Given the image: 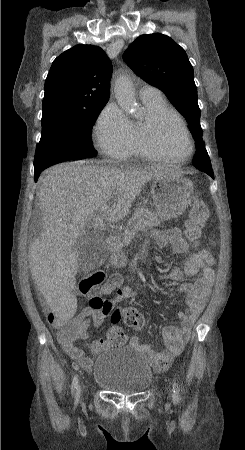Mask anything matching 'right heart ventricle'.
<instances>
[{"instance_id": "e07e8e85", "label": "right heart ventricle", "mask_w": 245, "mask_h": 450, "mask_svg": "<svg viewBox=\"0 0 245 450\" xmlns=\"http://www.w3.org/2000/svg\"><path fill=\"white\" fill-rule=\"evenodd\" d=\"M142 102L146 108L147 116L143 120L133 123L134 146L132 154L140 159L166 160V158L153 154L147 148L146 138L144 134L145 127L147 126L150 120L163 114L172 115L181 123H183L182 118L180 117L178 112L173 107H171L162 96L145 99L142 100Z\"/></svg>"}]
</instances>
